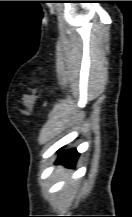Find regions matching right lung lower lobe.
<instances>
[{
	"label": "right lung lower lobe",
	"mask_w": 132,
	"mask_h": 217,
	"mask_svg": "<svg viewBox=\"0 0 132 217\" xmlns=\"http://www.w3.org/2000/svg\"><path fill=\"white\" fill-rule=\"evenodd\" d=\"M79 156V153L75 150V149H71V150H68L64 153H62L58 160H57V164H65L66 166L68 167H73L77 158Z\"/></svg>",
	"instance_id": "right-lung-lower-lobe-1"
}]
</instances>
